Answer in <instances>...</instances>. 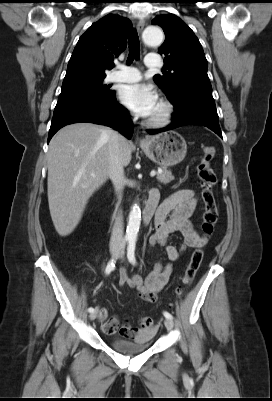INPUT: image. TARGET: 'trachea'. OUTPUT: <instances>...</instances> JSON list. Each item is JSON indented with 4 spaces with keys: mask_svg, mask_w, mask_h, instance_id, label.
Wrapping results in <instances>:
<instances>
[{
    "mask_svg": "<svg viewBox=\"0 0 272 401\" xmlns=\"http://www.w3.org/2000/svg\"><path fill=\"white\" fill-rule=\"evenodd\" d=\"M129 44V55H128V64L132 63L134 59H139L140 57V41L136 30H133L128 38Z\"/></svg>",
    "mask_w": 272,
    "mask_h": 401,
    "instance_id": "obj_1",
    "label": "trachea"
}]
</instances>
